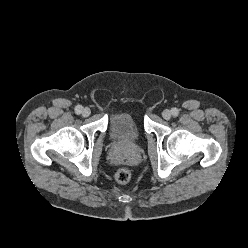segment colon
Returning a JSON list of instances; mask_svg holds the SVG:
<instances>
[{"instance_id":"colon-1","label":"colon","mask_w":248,"mask_h":248,"mask_svg":"<svg viewBox=\"0 0 248 248\" xmlns=\"http://www.w3.org/2000/svg\"><path fill=\"white\" fill-rule=\"evenodd\" d=\"M131 171L127 168H120L115 174V179L118 183L126 184L131 180Z\"/></svg>"}]
</instances>
